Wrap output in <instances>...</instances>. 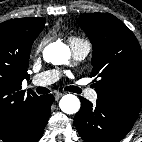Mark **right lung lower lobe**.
I'll return each instance as SVG.
<instances>
[{
  "label": "right lung lower lobe",
  "mask_w": 142,
  "mask_h": 142,
  "mask_svg": "<svg viewBox=\"0 0 142 142\" xmlns=\"http://www.w3.org/2000/svg\"><path fill=\"white\" fill-rule=\"evenodd\" d=\"M53 101L54 96L51 94L41 96L38 107L28 120L22 132L9 142H37L43 134Z\"/></svg>",
  "instance_id": "right-lung-lower-lobe-1"
}]
</instances>
